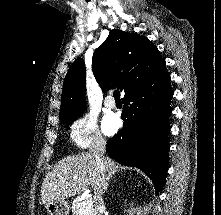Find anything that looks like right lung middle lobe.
<instances>
[{"instance_id":"dd1d6c3e","label":"right lung middle lobe","mask_w":221,"mask_h":215,"mask_svg":"<svg viewBox=\"0 0 221 215\" xmlns=\"http://www.w3.org/2000/svg\"><path fill=\"white\" fill-rule=\"evenodd\" d=\"M81 114H82V112H81V113H78V114H75V115H73V116H70V117H68V118H66V119H63V120H61V121L64 122V123H66L67 125H70V124H72L73 121L76 120V119L78 118V116L81 115ZM66 127H68V126H66Z\"/></svg>"}]
</instances>
